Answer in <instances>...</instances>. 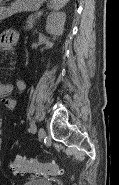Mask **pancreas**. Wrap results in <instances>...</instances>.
Here are the masks:
<instances>
[{"mask_svg": "<svg viewBox=\"0 0 119 185\" xmlns=\"http://www.w3.org/2000/svg\"><path fill=\"white\" fill-rule=\"evenodd\" d=\"M39 17L40 16L38 15V13L34 15H30L24 28L26 30L32 29Z\"/></svg>", "mask_w": 119, "mask_h": 185, "instance_id": "1", "label": "pancreas"}]
</instances>
